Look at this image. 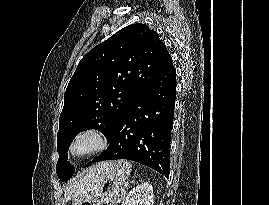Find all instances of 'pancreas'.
<instances>
[{"instance_id": "pancreas-1", "label": "pancreas", "mask_w": 269, "mask_h": 205, "mask_svg": "<svg viewBox=\"0 0 269 205\" xmlns=\"http://www.w3.org/2000/svg\"><path fill=\"white\" fill-rule=\"evenodd\" d=\"M121 199H123V197L121 196V198L119 199V201L118 202H120L121 201Z\"/></svg>"}]
</instances>
